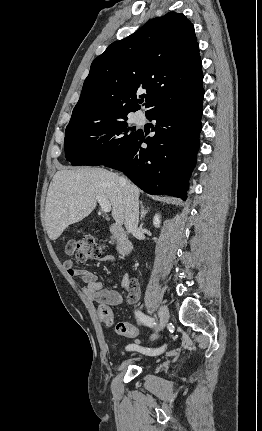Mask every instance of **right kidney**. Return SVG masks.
Listing matches in <instances>:
<instances>
[{"instance_id": "obj_1", "label": "right kidney", "mask_w": 262, "mask_h": 431, "mask_svg": "<svg viewBox=\"0 0 262 431\" xmlns=\"http://www.w3.org/2000/svg\"><path fill=\"white\" fill-rule=\"evenodd\" d=\"M160 223H161L160 215H159V214H156V215L154 216V218H153V225H154L156 228H159V227H160Z\"/></svg>"}]
</instances>
